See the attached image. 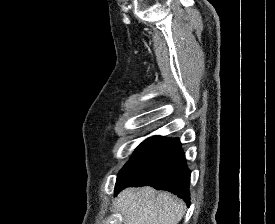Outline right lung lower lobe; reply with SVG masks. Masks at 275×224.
I'll use <instances>...</instances> for the list:
<instances>
[{
    "label": "right lung lower lobe",
    "instance_id": "right-lung-lower-lobe-1",
    "mask_svg": "<svg viewBox=\"0 0 275 224\" xmlns=\"http://www.w3.org/2000/svg\"><path fill=\"white\" fill-rule=\"evenodd\" d=\"M190 170L180 140L154 136L144 141L117 176L115 195L130 186H152L167 190L187 204Z\"/></svg>",
    "mask_w": 275,
    "mask_h": 224
}]
</instances>
